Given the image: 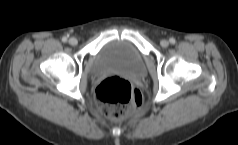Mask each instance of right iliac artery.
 <instances>
[{
    "instance_id": "1",
    "label": "right iliac artery",
    "mask_w": 238,
    "mask_h": 145,
    "mask_svg": "<svg viewBox=\"0 0 238 145\" xmlns=\"http://www.w3.org/2000/svg\"><path fill=\"white\" fill-rule=\"evenodd\" d=\"M62 41H63V42H67V37H63V38H62Z\"/></svg>"
}]
</instances>
